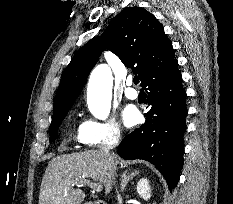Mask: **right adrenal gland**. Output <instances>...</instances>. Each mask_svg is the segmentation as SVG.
<instances>
[{
    "label": "right adrenal gland",
    "mask_w": 233,
    "mask_h": 204,
    "mask_svg": "<svg viewBox=\"0 0 233 204\" xmlns=\"http://www.w3.org/2000/svg\"><path fill=\"white\" fill-rule=\"evenodd\" d=\"M137 174H139V170H136L134 172H132L131 174H127V171H125L122 175H121V190L120 191H124L126 185L128 184V182L130 180L133 179V177H135Z\"/></svg>",
    "instance_id": "obj_1"
}]
</instances>
